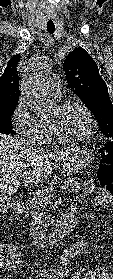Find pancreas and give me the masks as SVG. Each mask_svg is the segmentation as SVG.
<instances>
[{
	"label": "pancreas",
	"instance_id": "cf45deb5",
	"mask_svg": "<svg viewBox=\"0 0 113 279\" xmlns=\"http://www.w3.org/2000/svg\"><path fill=\"white\" fill-rule=\"evenodd\" d=\"M67 184L72 193H79L81 187L77 178L69 177L67 179ZM49 195V189L42 188L41 190L34 192L33 196L28 201L29 209H31L33 213V226H36L38 229L47 227L51 222L50 220L42 221L41 215L38 214V210L44 211L45 206L49 203L50 199L46 200Z\"/></svg>",
	"mask_w": 113,
	"mask_h": 279
}]
</instances>
